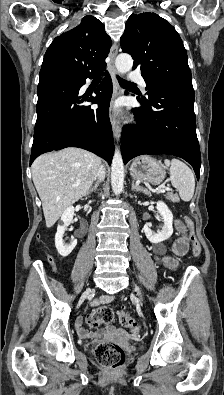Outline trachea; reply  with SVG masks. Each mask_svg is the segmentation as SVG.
I'll return each mask as SVG.
<instances>
[{
  "label": "trachea",
  "instance_id": "obj_1",
  "mask_svg": "<svg viewBox=\"0 0 224 395\" xmlns=\"http://www.w3.org/2000/svg\"><path fill=\"white\" fill-rule=\"evenodd\" d=\"M118 81H119L120 85H122V86L135 85L134 83L124 80L120 77H118Z\"/></svg>",
  "mask_w": 224,
  "mask_h": 395
}]
</instances>
